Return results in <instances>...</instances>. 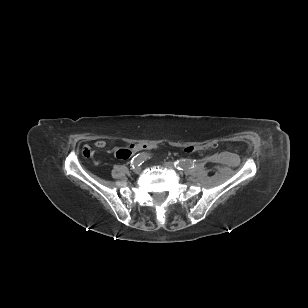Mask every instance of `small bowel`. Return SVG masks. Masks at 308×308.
Masks as SVG:
<instances>
[{
  "mask_svg": "<svg viewBox=\"0 0 308 308\" xmlns=\"http://www.w3.org/2000/svg\"><path fill=\"white\" fill-rule=\"evenodd\" d=\"M138 144V143H137ZM141 145H145V144H141ZM95 146L99 149H104L106 147V142L104 140H97L95 142ZM119 149L116 150V152L118 151ZM137 151H133L132 153H135Z\"/></svg>",
  "mask_w": 308,
  "mask_h": 308,
  "instance_id": "c3829d8e",
  "label": "small bowel"
}]
</instances>
